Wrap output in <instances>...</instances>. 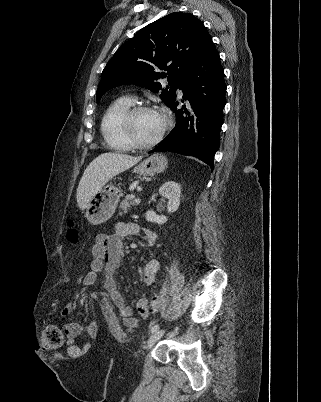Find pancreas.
Instances as JSON below:
<instances>
[{
	"label": "pancreas",
	"instance_id": "pancreas-1",
	"mask_svg": "<svg viewBox=\"0 0 321 402\" xmlns=\"http://www.w3.org/2000/svg\"><path fill=\"white\" fill-rule=\"evenodd\" d=\"M135 205H136V203H135L133 197H131L129 195L126 196L125 199L122 200V202L120 203V206H119L120 211H119L118 215L121 216V215L127 213L128 209H131Z\"/></svg>",
	"mask_w": 321,
	"mask_h": 402
}]
</instances>
